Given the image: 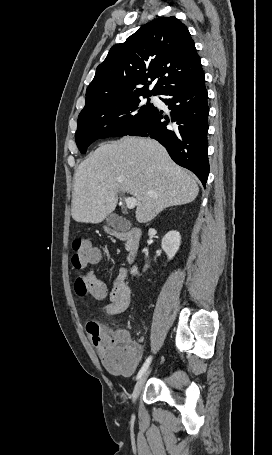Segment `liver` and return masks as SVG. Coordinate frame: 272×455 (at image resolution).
<instances>
[{
  "label": "liver",
  "mask_w": 272,
  "mask_h": 455,
  "mask_svg": "<svg viewBox=\"0 0 272 455\" xmlns=\"http://www.w3.org/2000/svg\"><path fill=\"white\" fill-rule=\"evenodd\" d=\"M120 192L136 198V220L147 223L169 206L194 201L199 187L157 141L124 137L100 145L78 166L72 218L84 223L103 221L115 210Z\"/></svg>",
  "instance_id": "1"
}]
</instances>
